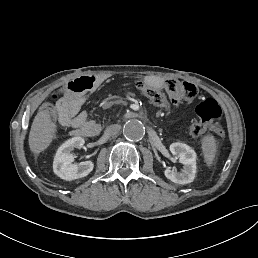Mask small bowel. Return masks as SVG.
Here are the masks:
<instances>
[{
	"label": "small bowel",
	"mask_w": 258,
	"mask_h": 258,
	"mask_svg": "<svg viewBox=\"0 0 258 258\" xmlns=\"http://www.w3.org/2000/svg\"><path fill=\"white\" fill-rule=\"evenodd\" d=\"M103 83L97 76L87 75L71 80L70 88L56 105L58 121L62 126L79 130L86 136H95L100 131V125L91 119L81 108L88 97Z\"/></svg>",
	"instance_id": "1"
}]
</instances>
